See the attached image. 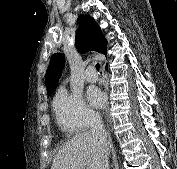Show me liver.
Instances as JSON below:
<instances>
[{
  "mask_svg": "<svg viewBox=\"0 0 177 169\" xmlns=\"http://www.w3.org/2000/svg\"><path fill=\"white\" fill-rule=\"evenodd\" d=\"M104 156L99 139L91 132H83L64 144L54 157L51 169H102Z\"/></svg>",
  "mask_w": 177,
  "mask_h": 169,
  "instance_id": "6515ba94",
  "label": "liver"
}]
</instances>
